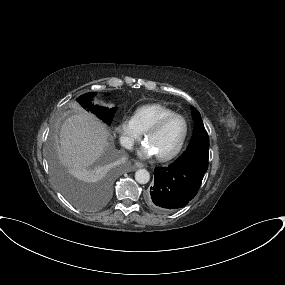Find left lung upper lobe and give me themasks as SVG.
Segmentation results:
<instances>
[{
  "instance_id": "left-lung-upper-lobe-1",
  "label": "left lung upper lobe",
  "mask_w": 285,
  "mask_h": 285,
  "mask_svg": "<svg viewBox=\"0 0 285 285\" xmlns=\"http://www.w3.org/2000/svg\"><path fill=\"white\" fill-rule=\"evenodd\" d=\"M191 110L195 121L193 136L186 151L172 165L190 167L205 174L208 169L209 137L200 113L194 107Z\"/></svg>"
}]
</instances>
